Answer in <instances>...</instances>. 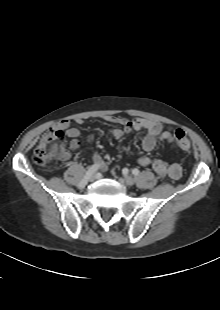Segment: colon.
<instances>
[{"label": "colon", "instance_id": "5ec220e1", "mask_svg": "<svg viewBox=\"0 0 220 310\" xmlns=\"http://www.w3.org/2000/svg\"><path fill=\"white\" fill-rule=\"evenodd\" d=\"M174 140L181 151L188 153L191 150V141L182 129H175ZM68 153L64 140V132L59 129L47 131L34 150L33 159L37 164L45 165L51 161L62 158Z\"/></svg>", "mask_w": 220, "mask_h": 310}]
</instances>
